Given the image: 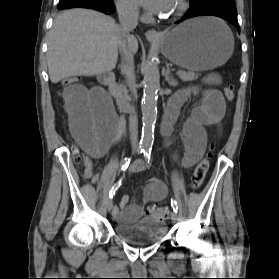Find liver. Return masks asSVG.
I'll list each match as a JSON object with an SVG mask.
<instances>
[{"label":"liver","instance_id":"liver-1","mask_svg":"<svg viewBox=\"0 0 279 279\" xmlns=\"http://www.w3.org/2000/svg\"><path fill=\"white\" fill-rule=\"evenodd\" d=\"M120 39V27L103 13L89 9L63 11L49 33L47 64L51 82L55 84L68 77L95 76L113 70L118 60ZM127 43L131 54H135L137 39L129 36Z\"/></svg>","mask_w":279,"mask_h":279}]
</instances>
